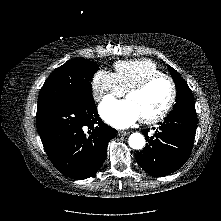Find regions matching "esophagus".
Segmentation results:
<instances>
[{"label":"esophagus","mask_w":221,"mask_h":221,"mask_svg":"<svg viewBox=\"0 0 221 221\" xmlns=\"http://www.w3.org/2000/svg\"><path fill=\"white\" fill-rule=\"evenodd\" d=\"M130 132H128V131H122V130H120V131H118V136H126V135H128Z\"/></svg>","instance_id":"obj_1"}]
</instances>
